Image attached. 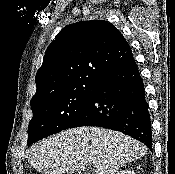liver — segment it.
Here are the masks:
<instances>
[{
  "instance_id": "6515ba94",
  "label": "liver",
  "mask_w": 175,
  "mask_h": 174,
  "mask_svg": "<svg viewBox=\"0 0 175 174\" xmlns=\"http://www.w3.org/2000/svg\"><path fill=\"white\" fill-rule=\"evenodd\" d=\"M146 152V146L121 132L100 127H80L34 144L27 158L34 169L44 174H72L84 171L92 164L95 174H115Z\"/></svg>"
}]
</instances>
